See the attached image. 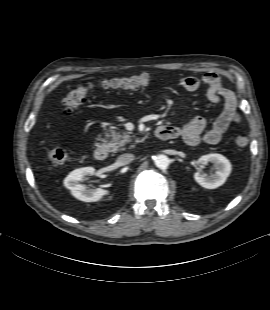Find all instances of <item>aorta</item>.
Wrapping results in <instances>:
<instances>
[{"label": "aorta", "mask_w": 270, "mask_h": 310, "mask_svg": "<svg viewBox=\"0 0 270 310\" xmlns=\"http://www.w3.org/2000/svg\"><path fill=\"white\" fill-rule=\"evenodd\" d=\"M155 165L160 169H166L169 166V158L160 154L155 157Z\"/></svg>", "instance_id": "1"}]
</instances>
